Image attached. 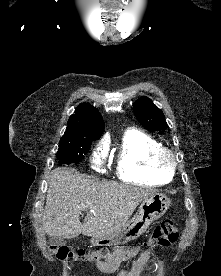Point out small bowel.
Here are the masks:
<instances>
[{"instance_id": "1", "label": "small bowel", "mask_w": 221, "mask_h": 276, "mask_svg": "<svg viewBox=\"0 0 221 276\" xmlns=\"http://www.w3.org/2000/svg\"><path fill=\"white\" fill-rule=\"evenodd\" d=\"M139 252L138 247L128 250H118L104 261L96 262L95 267L104 274H114L116 276H142L153 263L151 249L142 251L132 266L128 269L118 271L122 261L130 259Z\"/></svg>"}]
</instances>
